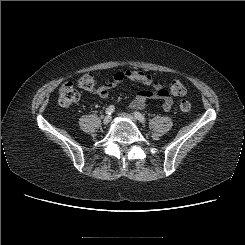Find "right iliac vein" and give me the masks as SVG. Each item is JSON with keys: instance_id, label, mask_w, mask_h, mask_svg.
Returning a JSON list of instances; mask_svg holds the SVG:
<instances>
[{"instance_id": "obj_1", "label": "right iliac vein", "mask_w": 245, "mask_h": 245, "mask_svg": "<svg viewBox=\"0 0 245 245\" xmlns=\"http://www.w3.org/2000/svg\"><path fill=\"white\" fill-rule=\"evenodd\" d=\"M111 120H112V117L110 115H107L104 117L103 123L107 125L111 122Z\"/></svg>"}]
</instances>
